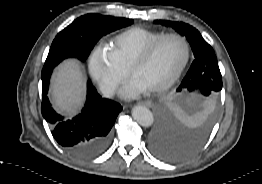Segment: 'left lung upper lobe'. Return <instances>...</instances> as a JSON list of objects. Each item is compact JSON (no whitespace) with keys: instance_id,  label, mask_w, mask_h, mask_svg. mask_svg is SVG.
I'll list each match as a JSON object with an SVG mask.
<instances>
[{"instance_id":"5c2ea615","label":"left lung upper lobe","mask_w":262,"mask_h":184,"mask_svg":"<svg viewBox=\"0 0 262 184\" xmlns=\"http://www.w3.org/2000/svg\"><path fill=\"white\" fill-rule=\"evenodd\" d=\"M155 23L172 27L181 35H184L190 43L195 59L209 53H214L212 47L202 38L199 31L194 27L186 23L173 21L159 20L155 21ZM196 69L198 68H194L192 64L178 87V92L184 91L185 89L189 92L199 90L203 95L210 96L218 93L222 89V78H220V76H217L216 78V76L211 74L204 75V73H206L203 70L204 68L199 72V74H196Z\"/></svg>"}]
</instances>
